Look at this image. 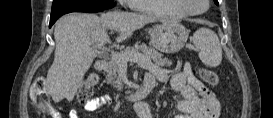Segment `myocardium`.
I'll return each mask as SVG.
<instances>
[{"label":"myocardium","mask_w":273,"mask_h":118,"mask_svg":"<svg viewBox=\"0 0 273 118\" xmlns=\"http://www.w3.org/2000/svg\"><path fill=\"white\" fill-rule=\"evenodd\" d=\"M177 5L188 15H200L206 12L209 8L208 0H176ZM194 2H199L202 4L203 8L200 10H194L192 4Z\"/></svg>","instance_id":"obj_1"}]
</instances>
